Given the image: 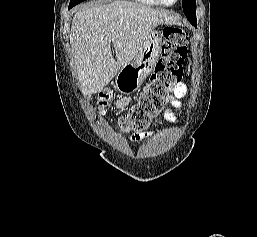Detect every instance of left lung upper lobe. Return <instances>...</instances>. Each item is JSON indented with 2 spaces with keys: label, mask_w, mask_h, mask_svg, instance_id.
I'll use <instances>...</instances> for the list:
<instances>
[{
  "label": "left lung upper lobe",
  "mask_w": 257,
  "mask_h": 237,
  "mask_svg": "<svg viewBox=\"0 0 257 237\" xmlns=\"http://www.w3.org/2000/svg\"><path fill=\"white\" fill-rule=\"evenodd\" d=\"M184 14L190 23L197 22L196 19V0H182Z\"/></svg>",
  "instance_id": "obj_1"
}]
</instances>
